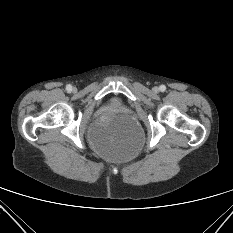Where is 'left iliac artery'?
Here are the masks:
<instances>
[{"instance_id":"obj_1","label":"left iliac artery","mask_w":233,"mask_h":233,"mask_svg":"<svg viewBox=\"0 0 233 233\" xmlns=\"http://www.w3.org/2000/svg\"><path fill=\"white\" fill-rule=\"evenodd\" d=\"M159 89H160L161 92H164L166 90V86L165 85H161Z\"/></svg>"}]
</instances>
